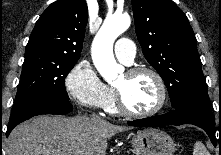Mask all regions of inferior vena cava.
<instances>
[{
	"instance_id": "1",
	"label": "inferior vena cava",
	"mask_w": 221,
	"mask_h": 155,
	"mask_svg": "<svg viewBox=\"0 0 221 155\" xmlns=\"http://www.w3.org/2000/svg\"><path fill=\"white\" fill-rule=\"evenodd\" d=\"M92 119H94V120H100V118L98 117V116H95L94 114L92 115Z\"/></svg>"
}]
</instances>
